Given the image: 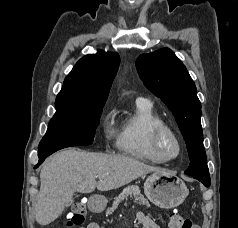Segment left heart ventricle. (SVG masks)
I'll return each mask as SVG.
<instances>
[{"label":"left heart ventricle","instance_id":"obj_1","mask_svg":"<svg viewBox=\"0 0 238 228\" xmlns=\"http://www.w3.org/2000/svg\"><path fill=\"white\" fill-rule=\"evenodd\" d=\"M162 151L166 156H173L176 154L177 147L171 138L164 137L162 141Z\"/></svg>","mask_w":238,"mask_h":228}]
</instances>
